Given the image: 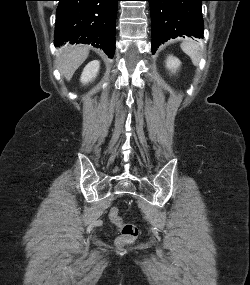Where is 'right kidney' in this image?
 I'll return each mask as SVG.
<instances>
[{
    "instance_id": "ca27d5eb",
    "label": "right kidney",
    "mask_w": 250,
    "mask_h": 285,
    "mask_svg": "<svg viewBox=\"0 0 250 285\" xmlns=\"http://www.w3.org/2000/svg\"><path fill=\"white\" fill-rule=\"evenodd\" d=\"M100 68V62L98 60H93L89 62L85 68L83 69V72L81 74L80 81L83 84H87L91 82L99 72Z\"/></svg>"
}]
</instances>
